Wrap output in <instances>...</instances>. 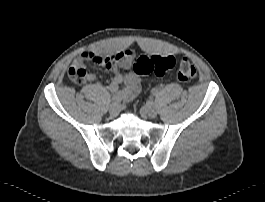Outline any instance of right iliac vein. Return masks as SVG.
Here are the masks:
<instances>
[{
    "label": "right iliac vein",
    "instance_id": "63e3f726",
    "mask_svg": "<svg viewBox=\"0 0 265 202\" xmlns=\"http://www.w3.org/2000/svg\"><path fill=\"white\" fill-rule=\"evenodd\" d=\"M119 112V106L117 104H112L109 108V114L111 117H116Z\"/></svg>",
    "mask_w": 265,
    "mask_h": 202
}]
</instances>
